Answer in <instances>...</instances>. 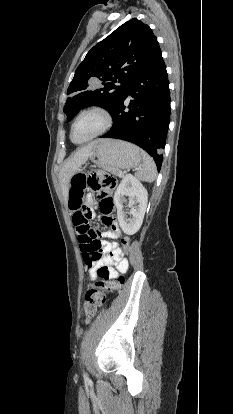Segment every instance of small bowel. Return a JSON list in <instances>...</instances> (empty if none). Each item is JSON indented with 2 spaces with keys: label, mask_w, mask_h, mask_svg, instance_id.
<instances>
[{
  "label": "small bowel",
  "mask_w": 233,
  "mask_h": 414,
  "mask_svg": "<svg viewBox=\"0 0 233 414\" xmlns=\"http://www.w3.org/2000/svg\"><path fill=\"white\" fill-rule=\"evenodd\" d=\"M94 204V198L92 195L87 197V208L92 212V206ZM109 229L103 233V237L116 240L121 236V230L118 226L116 219L109 215L107 222ZM104 255L96 260L89 268V274L91 280L96 278V272L99 268H106L108 270L109 278H118L125 274L128 270L127 258H118L115 253L120 249L116 242H105L103 243Z\"/></svg>",
  "instance_id": "c3829d8e"
}]
</instances>
